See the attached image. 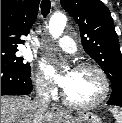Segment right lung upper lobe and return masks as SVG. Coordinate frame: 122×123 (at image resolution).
Masks as SVG:
<instances>
[{
	"instance_id": "cb5924a9",
	"label": "right lung upper lobe",
	"mask_w": 122,
	"mask_h": 123,
	"mask_svg": "<svg viewBox=\"0 0 122 123\" xmlns=\"http://www.w3.org/2000/svg\"><path fill=\"white\" fill-rule=\"evenodd\" d=\"M40 0H1V49H16L34 24Z\"/></svg>"
}]
</instances>
